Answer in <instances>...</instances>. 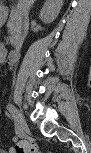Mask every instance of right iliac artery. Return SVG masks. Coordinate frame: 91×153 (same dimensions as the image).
I'll return each instance as SVG.
<instances>
[{
	"instance_id": "obj_1",
	"label": "right iliac artery",
	"mask_w": 91,
	"mask_h": 153,
	"mask_svg": "<svg viewBox=\"0 0 91 153\" xmlns=\"http://www.w3.org/2000/svg\"><path fill=\"white\" fill-rule=\"evenodd\" d=\"M7 110L13 115L14 117V106L11 104L7 105ZM15 121V118H14ZM15 128H16V134L18 135V137H22L21 132L18 130L17 126H16V121H15Z\"/></svg>"
}]
</instances>
